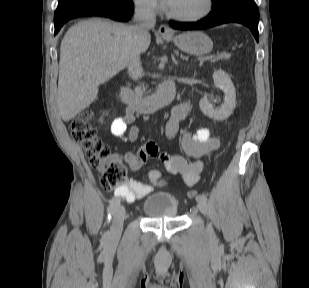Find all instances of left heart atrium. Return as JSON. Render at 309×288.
Returning <instances> with one entry per match:
<instances>
[{"label":"left heart atrium","instance_id":"39dd6f15","mask_svg":"<svg viewBox=\"0 0 309 288\" xmlns=\"http://www.w3.org/2000/svg\"><path fill=\"white\" fill-rule=\"evenodd\" d=\"M172 0H164V2L169 5L171 3Z\"/></svg>","mask_w":309,"mask_h":288}]
</instances>
